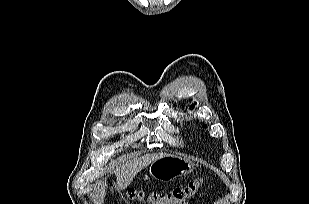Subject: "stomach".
Wrapping results in <instances>:
<instances>
[{
    "instance_id": "obj_1",
    "label": "stomach",
    "mask_w": 309,
    "mask_h": 204,
    "mask_svg": "<svg viewBox=\"0 0 309 204\" xmlns=\"http://www.w3.org/2000/svg\"><path fill=\"white\" fill-rule=\"evenodd\" d=\"M193 167V163L188 159L166 155L150 164L149 174L152 178L160 181H171L190 173Z\"/></svg>"
}]
</instances>
